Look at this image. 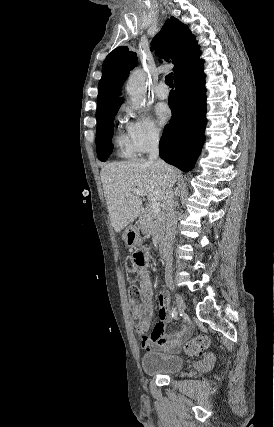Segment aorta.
I'll return each mask as SVG.
<instances>
[{
  "mask_svg": "<svg viewBox=\"0 0 274 427\" xmlns=\"http://www.w3.org/2000/svg\"><path fill=\"white\" fill-rule=\"evenodd\" d=\"M146 75L141 69L134 70L126 84V91L134 108H140L146 100Z\"/></svg>",
  "mask_w": 274,
  "mask_h": 427,
  "instance_id": "obj_1",
  "label": "aorta"
}]
</instances>
